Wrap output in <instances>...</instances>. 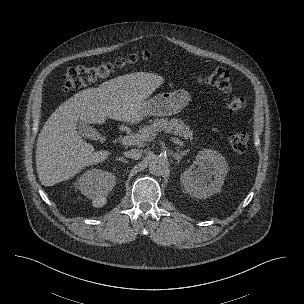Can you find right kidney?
Instances as JSON below:
<instances>
[{"label":"right kidney","mask_w":304,"mask_h":304,"mask_svg":"<svg viewBox=\"0 0 304 304\" xmlns=\"http://www.w3.org/2000/svg\"><path fill=\"white\" fill-rule=\"evenodd\" d=\"M115 183L116 177L114 174L102 169L92 168L79 176L75 186L87 198L93 199L97 202V205L102 206Z\"/></svg>","instance_id":"ca27d5eb"}]
</instances>
